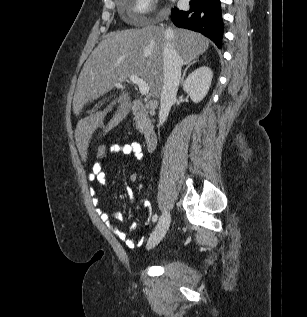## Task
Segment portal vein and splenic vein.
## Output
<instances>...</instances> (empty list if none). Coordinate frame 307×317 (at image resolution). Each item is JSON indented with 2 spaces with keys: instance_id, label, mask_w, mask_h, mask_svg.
<instances>
[{
  "instance_id": "portal-vein-and-splenic-vein-1",
  "label": "portal vein and splenic vein",
  "mask_w": 307,
  "mask_h": 317,
  "mask_svg": "<svg viewBox=\"0 0 307 317\" xmlns=\"http://www.w3.org/2000/svg\"><path fill=\"white\" fill-rule=\"evenodd\" d=\"M129 80L136 84L139 88V91L142 95H148L149 94V86L146 83V81H144L143 79H141L140 77L136 76V75H131L129 76ZM115 87L117 88H121L122 84L121 82H118L115 84Z\"/></svg>"
}]
</instances>
